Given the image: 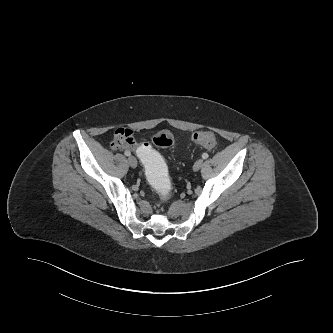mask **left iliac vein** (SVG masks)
I'll return each mask as SVG.
<instances>
[{
  "label": "left iliac vein",
  "instance_id": "obj_1",
  "mask_svg": "<svg viewBox=\"0 0 333 333\" xmlns=\"http://www.w3.org/2000/svg\"><path fill=\"white\" fill-rule=\"evenodd\" d=\"M203 165V160L199 159L195 162V164L193 165V169L194 171H198Z\"/></svg>",
  "mask_w": 333,
  "mask_h": 333
}]
</instances>
